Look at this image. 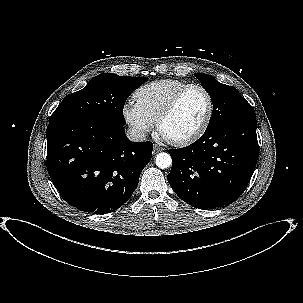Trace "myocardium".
Listing matches in <instances>:
<instances>
[{"instance_id": "1", "label": "myocardium", "mask_w": 303, "mask_h": 303, "mask_svg": "<svg viewBox=\"0 0 303 303\" xmlns=\"http://www.w3.org/2000/svg\"><path fill=\"white\" fill-rule=\"evenodd\" d=\"M191 89H199L200 91L203 92L207 99V111L206 114L199 125V127L191 134L188 136L182 137V138H170L167 137L163 133V124L165 121L174 113L176 110L177 106L179 105L181 99L183 96ZM214 112V104H213V99L209 91L202 85L200 84H188L187 86L183 87L181 90H179L173 98L170 100V102L166 105V107L163 109V111L160 113L156 125L158 131L166 138L170 143L176 145V146H186L189 145L195 141H197L199 138L203 136V134L206 132L212 116Z\"/></svg>"}]
</instances>
